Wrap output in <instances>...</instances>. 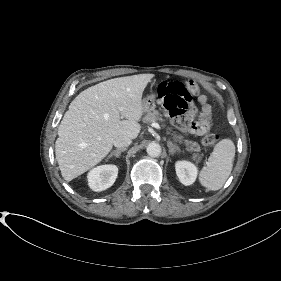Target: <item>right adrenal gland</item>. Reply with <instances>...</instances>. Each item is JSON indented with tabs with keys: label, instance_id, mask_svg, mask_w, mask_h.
Returning <instances> with one entry per match:
<instances>
[{
	"label": "right adrenal gland",
	"instance_id": "right-adrenal-gland-1",
	"mask_svg": "<svg viewBox=\"0 0 281 281\" xmlns=\"http://www.w3.org/2000/svg\"><path fill=\"white\" fill-rule=\"evenodd\" d=\"M126 148H121V149H116L113 150L109 155L108 158H111L112 156H115L116 158H119V156L121 155V152L125 151Z\"/></svg>",
	"mask_w": 281,
	"mask_h": 281
}]
</instances>
